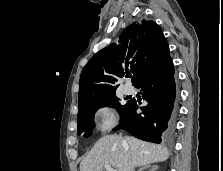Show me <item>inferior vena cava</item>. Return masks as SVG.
Instances as JSON below:
<instances>
[{"mask_svg": "<svg viewBox=\"0 0 223 171\" xmlns=\"http://www.w3.org/2000/svg\"><path fill=\"white\" fill-rule=\"evenodd\" d=\"M125 171H134V166L131 162L127 163Z\"/></svg>", "mask_w": 223, "mask_h": 171, "instance_id": "inferior-vena-cava-1", "label": "inferior vena cava"}]
</instances>
